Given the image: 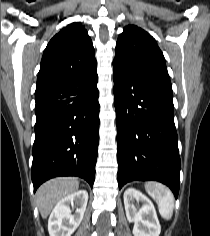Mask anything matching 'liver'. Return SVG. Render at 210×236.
Wrapping results in <instances>:
<instances>
[{"instance_id": "obj_1", "label": "liver", "mask_w": 210, "mask_h": 236, "mask_svg": "<svg viewBox=\"0 0 210 236\" xmlns=\"http://www.w3.org/2000/svg\"><path fill=\"white\" fill-rule=\"evenodd\" d=\"M79 189V181L72 177H61L42 184L36 192L37 205L43 219L47 218L54 206L63 198Z\"/></svg>"}]
</instances>
